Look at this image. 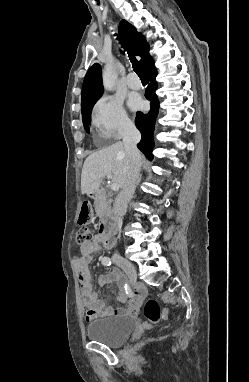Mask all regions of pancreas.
Here are the masks:
<instances>
[{
    "label": "pancreas",
    "instance_id": "1",
    "mask_svg": "<svg viewBox=\"0 0 249 382\" xmlns=\"http://www.w3.org/2000/svg\"><path fill=\"white\" fill-rule=\"evenodd\" d=\"M95 212L96 215L102 218L107 211L106 194L103 193L95 199Z\"/></svg>",
    "mask_w": 249,
    "mask_h": 382
}]
</instances>
